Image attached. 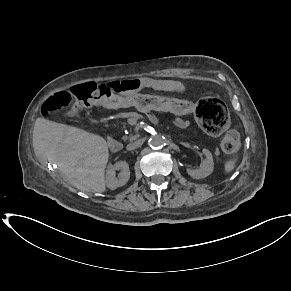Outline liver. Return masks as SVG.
I'll return each mask as SVG.
<instances>
[{
    "label": "liver",
    "instance_id": "liver-1",
    "mask_svg": "<svg viewBox=\"0 0 291 291\" xmlns=\"http://www.w3.org/2000/svg\"><path fill=\"white\" fill-rule=\"evenodd\" d=\"M35 155L57 164L66 181L85 192L106 190L109 160L106 140L83 129L38 118L33 130Z\"/></svg>",
    "mask_w": 291,
    "mask_h": 291
}]
</instances>
